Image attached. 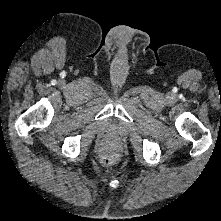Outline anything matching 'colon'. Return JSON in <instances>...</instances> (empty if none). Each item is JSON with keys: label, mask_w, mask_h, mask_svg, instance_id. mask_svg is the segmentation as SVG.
<instances>
[{"label": "colon", "mask_w": 221, "mask_h": 221, "mask_svg": "<svg viewBox=\"0 0 221 221\" xmlns=\"http://www.w3.org/2000/svg\"><path fill=\"white\" fill-rule=\"evenodd\" d=\"M119 156V146L116 143L109 144L101 155V162L104 165H110L116 161Z\"/></svg>", "instance_id": "colon-1"}]
</instances>
